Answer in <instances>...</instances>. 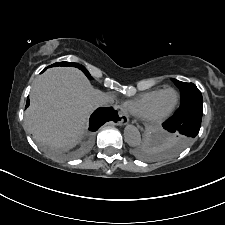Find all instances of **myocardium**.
<instances>
[{
    "instance_id": "myocardium-1",
    "label": "myocardium",
    "mask_w": 225,
    "mask_h": 225,
    "mask_svg": "<svg viewBox=\"0 0 225 225\" xmlns=\"http://www.w3.org/2000/svg\"><path fill=\"white\" fill-rule=\"evenodd\" d=\"M168 91H172L176 94V101H175L174 105L168 111L164 112L163 114L154 115L152 113V110H153V107H154L156 101L163 93L168 92ZM179 101H180V95L177 90H175L173 88L161 89L158 92V94L154 97V99L151 101V103L148 105L146 111L144 112V114L141 117L148 125L162 124L174 113V111L176 110V108L179 104Z\"/></svg>"
}]
</instances>
